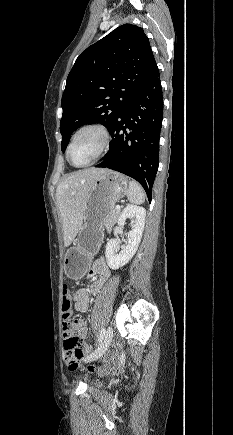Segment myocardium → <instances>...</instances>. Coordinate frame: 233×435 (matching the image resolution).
Returning a JSON list of instances; mask_svg holds the SVG:
<instances>
[{
    "label": "myocardium",
    "mask_w": 233,
    "mask_h": 435,
    "mask_svg": "<svg viewBox=\"0 0 233 435\" xmlns=\"http://www.w3.org/2000/svg\"><path fill=\"white\" fill-rule=\"evenodd\" d=\"M88 132H93L96 135H98V137L100 138L99 149L92 160H90L89 162L82 164V165H75L71 162L70 157H69L70 149L78 137H80L82 134H85ZM110 138H111L110 132L103 125H100L97 123H87V124L80 126L79 128H77L75 130V132L73 133V135L68 143V146L66 149L67 161L70 163L71 166H73L75 168H86V167H89V166L95 164L102 157L104 152L106 151V149L109 145V142H110Z\"/></svg>",
    "instance_id": "f54148a6"
}]
</instances>
